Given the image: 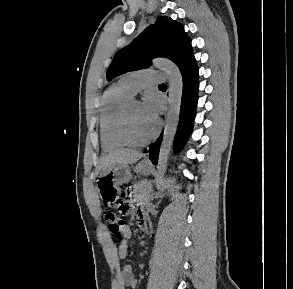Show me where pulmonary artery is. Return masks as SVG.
<instances>
[{"instance_id": "1", "label": "pulmonary artery", "mask_w": 293, "mask_h": 289, "mask_svg": "<svg viewBox=\"0 0 293 289\" xmlns=\"http://www.w3.org/2000/svg\"><path fill=\"white\" fill-rule=\"evenodd\" d=\"M164 75L154 70H139L132 72L121 78L119 81L132 95L149 84L161 83Z\"/></svg>"}]
</instances>
